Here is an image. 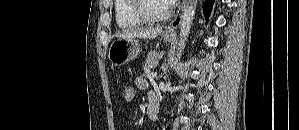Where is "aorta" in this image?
Returning a JSON list of instances; mask_svg holds the SVG:
<instances>
[{
    "label": "aorta",
    "mask_w": 299,
    "mask_h": 130,
    "mask_svg": "<svg viewBox=\"0 0 299 130\" xmlns=\"http://www.w3.org/2000/svg\"><path fill=\"white\" fill-rule=\"evenodd\" d=\"M190 4L184 9L182 22L180 24V40L178 43V50L181 52L185 47V42L188 38L190 28L195 16L196 0H190Z\"/></svg>",
    "instance_id": "obj_1"
}]
</instances>
